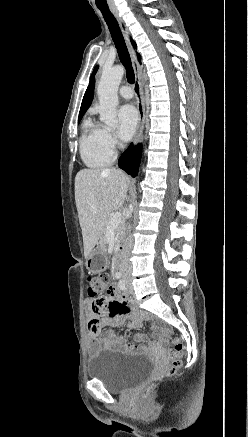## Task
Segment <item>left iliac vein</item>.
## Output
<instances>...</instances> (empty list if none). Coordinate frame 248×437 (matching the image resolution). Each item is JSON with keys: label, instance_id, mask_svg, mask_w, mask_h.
Here are the masks:
<instances>
[{"label": "left iliac vein", "instance_id": "left-iliac-vein-1", "mask_svg": "<svg viewBox=\"0 0 248 437\" xmlns=\"http://www.w3.org/2000/svg\"><path fill=\"white\" fill-rule=\"evenodd\" d=\"M124 281H125V285H126L127 291H128L130 294H133L134 289H133V286H132V284H131L130 279H129V278H125Z\"/></svg>", "mask_w": 248, "mask_h": 437}]
</instances>
